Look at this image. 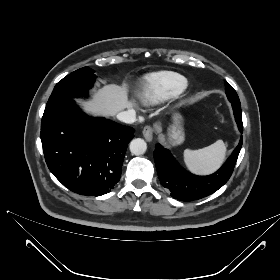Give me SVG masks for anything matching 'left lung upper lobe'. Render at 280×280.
<instances>
[{
    "instance_id": "obj_1",
    "label": "left lung upper lobe",
    "mask_w": 280,
    "mask_h": 280,
    "mask_svg": "<svg viewBox=\"0 0 280 280\" xmlns=\"http://www.w3.org/2000/svg\"><path fill=\"white\" fill-rule=\"evenodd\" d=\"M225 86H226L225 92H226V95H227L229 101L231 103H236L237 105L241 106L240 100H239V97H238L236 91L227 82H225Z\"/></svg>"
}]
</instances>
